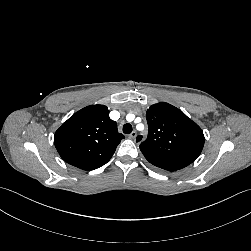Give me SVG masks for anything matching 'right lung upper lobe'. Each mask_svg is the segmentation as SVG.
I'll return each instance as SVG.
<instances>
[{
	"label": "right lung upper lobe",
	"instance_id": "cb5924a9",
	"mask_svg": "<svg viewBox=\"0 0 251 251\" xmlns=\"http://www.w3.org/2000/svg\"><path fill=\"white\" fill-rule=\"evenodd\" d=\"M123 138L108 108L91 105L73 114L56 131L54 144L67 163L90 171L106 164Z\"/></svg>",
	"mask_w": 251,
	"mask_h": 251
}]
</instances>
